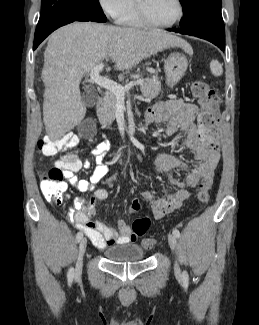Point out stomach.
I'll return each instance as SVG.
<instances>
[{"mask_svg": "<svg viewBox=\"0 0 259 325\" xmlns=\"http://www.w3.org/2000/svg\"><path fill=\"white\" fill-rule=\"evenodd\" d=\"M188 61L180 53H171L165 61L164 71L169 86L176 85L186 72Z\"/></svg>", "mask_w": 259, "mask_h": 325, "instance_id": "stomach-1", "label": "stomach"}]
</instances>
